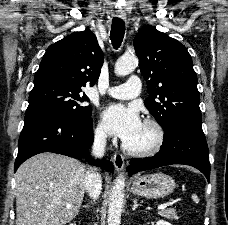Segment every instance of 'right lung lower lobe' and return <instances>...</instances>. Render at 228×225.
Instances as JSON below:
<instances>
[{"label": "right lung lower lobe", "instance_id": "right-lung-lower-lobe-1", "mask_svg": "<svg viewBox=\"0 0 228 225\" xmlns=\"http://www.w3.org/2000/svg\"><path fill=\"white\" fill-rule=\"evenodd\" d=\"M93 143L91 118L82 120L70 115L45 111L25 115L18 142L14 171L28 158L42 152H53L74 158L87 157ZM102 169L112 172L111 162L103 160ZM90 164L98 165L95 161Z\"/></svg>", "mask_w": 228, "mask_h": 225}]
</instances>
